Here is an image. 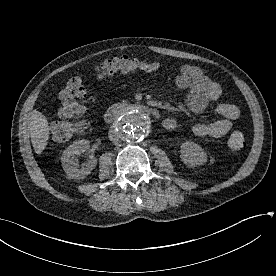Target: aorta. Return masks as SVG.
<instances>
[{"label": "aorta", "instance_id": "762f6f07", "mask_svg": "<svg viewBox=\"0 0 276 276\" xmlns=\"http://www.w3.org/2000/svg\"><path fill=\"white\" fill-rule=\"evenodd\" d=\"M118 128L124 140L129 142L142 140L147 134V116L137 108H129L122 113Z\"/></svg>", "mask_w": 276, "mask_h": 276}]
</instances>
